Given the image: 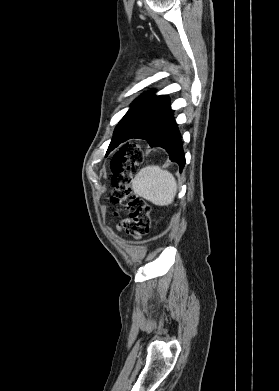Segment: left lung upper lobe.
Listing matches in <instances>:
<instances>
[{
    "label": "left lung upper lobe",
    "mask_w": 279,
    "mask_h": 391,
    "mask_svg": "<svg viewBox=\"0 0 279 391\" xmlns=\"http://www.w3.org/2000/svg\"><path fill=\"white\" fill-rule=\"evenodd\" d=\"M170 109L167 96H155L153 91L142 94L116 126L107 152L117 147L125 136L136 135L150 127Z\"/></svg>",
    "instance_id": "obj_1"
}]
</instances>
